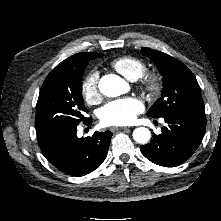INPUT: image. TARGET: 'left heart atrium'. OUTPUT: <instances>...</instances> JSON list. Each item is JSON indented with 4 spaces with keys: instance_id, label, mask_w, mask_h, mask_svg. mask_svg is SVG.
I'll list each match as a JSON object with an SVG mask.
<instances>
[{
    "instance_id": "left-heart-atrium-1",
    "label": "left heart atrium",
    "mask_w": 221,
    "mask_h": 221,
    "mask_svg": "<svg viewBox=\"0 0 221 221\" xmlns=\"http://www.w3.org/2000/svg\"><path fill=\"white\" fill-rule=\"evenodd\" d=\"M143 109L142 101L136 97L116 99L100 109L99 119L106 126L128 125L136 119Z\"/></svg>"
}]
</instances>
